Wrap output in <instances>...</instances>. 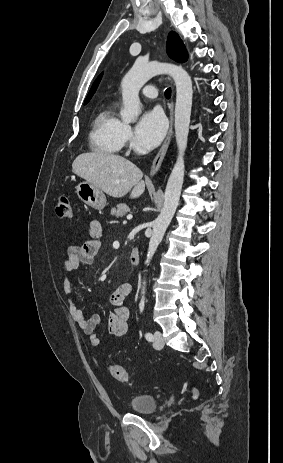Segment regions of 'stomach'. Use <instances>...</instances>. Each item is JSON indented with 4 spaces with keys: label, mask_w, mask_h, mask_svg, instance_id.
<instances>
[{
    "label": "stomach",
    "mask_w": 283,
    "mask_h": 463,
    "mask_svg": "<svg viewBox=\"0 0 283 463\" xmlns=\"http://www.w3.org/2000/svg\"><path fill=\"white\" fill-rule=\"evenodd\" d=\"M76 193L81 201L96 210H102L106 206V196L94 184L84 181L77 185Z\"/></svg>",
    "instance_id": "0dacf381"
}]
</instances>
